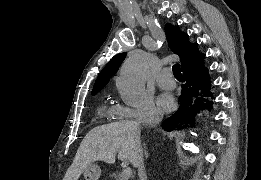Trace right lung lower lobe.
<instances>
[{"instance_id":"obj_1","label":"right lung lower lobe","mask_w":261,"mask_h":180,"mask_svg":"<svg viewBox=\"0 0 261 180\" xmlns=\"http://www.w3.org/2000/svg\"><path fill=\"white\" fill-rule=\"evenodd\" d=\"M186 83L183 85L179 98L180 109L163 122L167 130L179 128L183 122L194 123L193 116L199 110L212 106L211 82L204 61L182 71ZM196 98V99H195Z\"/></svg>"}]
</instances>
